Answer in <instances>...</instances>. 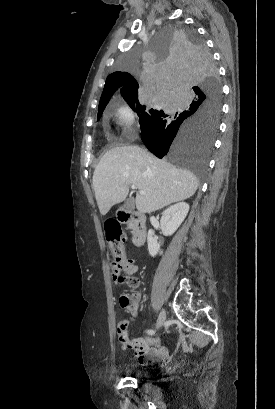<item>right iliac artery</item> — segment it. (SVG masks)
Segmentation results:
<instances>
[{"label": "right iliac artery", "mask_w": 275, "mask_h": 409, "mask_svg": "<svg viewBox=\"0 0 275 409\" xmlns=\"http://www.w3.org/2000/svg\"><path fill=\"white\" fill-rule=\"evenodd\" d=\"M149 332L152 334V333H154L152 330H149Z\"/></svg>", "instance_id": "right-iliac-artery-1"}]
</instances>
